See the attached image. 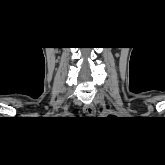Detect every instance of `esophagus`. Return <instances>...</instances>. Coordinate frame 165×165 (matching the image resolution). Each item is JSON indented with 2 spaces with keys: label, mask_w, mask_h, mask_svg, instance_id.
Returning a JSON list of instances; mask_svg holds the SVG:
<instances>
[{
  "label": "esophagus",
  "mask_w": 165,
  "mask_h": 165,
  "mask_svg": "<svg viewBox=\"0 0 165 165\" xmlns=\"http://www.w3.org/2000/svg\"><path fill=\"white\" fill-rule=\"evenodd\" d=\"M83 112L87 117H92L95 115L96 110L95 107L92 104H86L83 107Z\"/></svg>",
  "instance_id": "34e87169"
}]
</instances>
